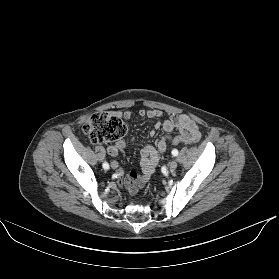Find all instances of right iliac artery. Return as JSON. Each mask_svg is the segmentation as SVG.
<instances>
[{"label": "right iliac artery", "instance_id": "1", "mask_svg": "<svg viewBox=\"0 0 279 279\" xmlns=\"http://www.w3.org/2000/svg\"><path fill=\"white\" fill-rule=\"evenodd\" d=\"M103 168L106 169V170L109 169V164L107 162H104L103 163Z\"/></svg>", "mask_w": 279, "mask_h": 279}]
</instances>
